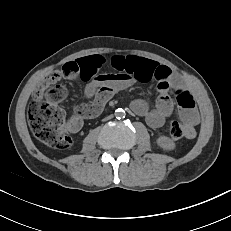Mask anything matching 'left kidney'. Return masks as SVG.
Here are the masks:
<instances>
[{
    "label": "left kidney",
    "mask_w": 231,
    "mask_h": 231,
    "mask_svg": "<svg viewBox=\"0 0 231 231\" xmlns=\"http://www.w3.org/2000/svg\"><path fill=\"white\" fill-rule=\"evenodd\" d=\"M157 144L164 150H173L175 149L176 145L175 143L167 136H160L157 139Z\"/></svg>",
    "instance_id": "1"
}]
</instances>
